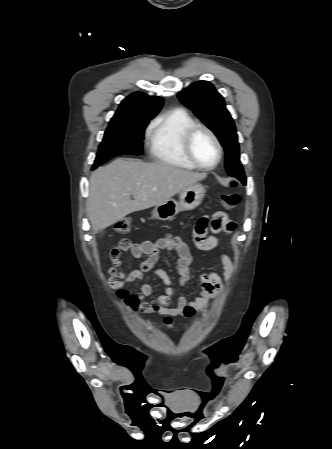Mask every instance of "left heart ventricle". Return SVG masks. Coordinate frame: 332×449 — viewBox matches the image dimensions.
I'll use <instances>...</instances> for the list:
<instances>
[{"instance_id": "obj_1", "label": "left heart ventricle", "mask_w": 332, "mask_h": 449, "mask_svg": "<svg viewBox=\"0 0 332 449\" xmlns=\"http://www.w3.org/2000/svg\"><path fill=\"white\" fill-rule=\"evenodd\" d=\"M192 151L202 165H211L217 158V148L211 137L204 131H198L192 139Z\"/></svg>"}]
</instances>
